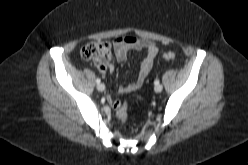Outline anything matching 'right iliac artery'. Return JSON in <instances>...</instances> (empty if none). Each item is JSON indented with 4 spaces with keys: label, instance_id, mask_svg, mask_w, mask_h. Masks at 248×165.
<instances>
[{
    "label": "right iliac artery",
    "instance_id": "obj_1",
    "mask_svg": "<svg viewBox=\"0 0 248 165\" xmlns=\"http://www.w3.org/2000/svg\"><path fill=\"white\" fill-rule=\"evenodd\" d=\"M101 80L99 78L96 79V83L99 84Z\"/></svg>",
    "mask_w": 248,
    "mask_h": 165
}]
</instances>
